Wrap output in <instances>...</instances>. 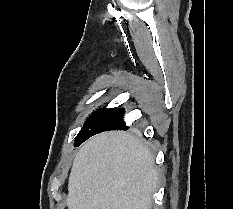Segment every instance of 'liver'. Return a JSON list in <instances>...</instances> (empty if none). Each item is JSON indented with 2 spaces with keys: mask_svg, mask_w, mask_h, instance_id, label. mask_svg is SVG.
Listing matches in <instances>:
<instances>
[{
  "mask_svg": "<svg viewBox=\"0 0 233 209\" xmlns=\"http://www.w3.org/2000/svg\"><path fill=\"white\" fill-rule=\"evenodd\" d=\"M158 173L143 141L127 132L101 133L73 161L68 209H151Z\"/></svg>",
  "mask_w": 233,
  "mask_h": 209,
  "instance_id": "1",
  "label": "liver"
}]
</instances>
